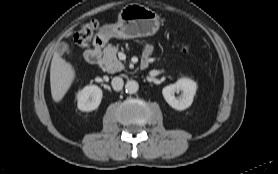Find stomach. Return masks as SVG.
I'll use <instances>...</instances> for the list:
<instances>
[{
    "label": "stomach",
    "mask_w": 278,
    "mask_h": 174,
    "mask_svg": "<svg viewBox=\"0 0 278 174\" xmlns=\"http://www.w3.org/2000/svg\"><path fill=\"white\" fill-rule=\"evenodd\" d=\"M160 26L157 13L144 5H126L118 15L115 24L105 25L99 35L105 40L110 38L133 39L154 35Z\"/></svg>",
    "instance_id": "stomach-1"
}]
</instances>
